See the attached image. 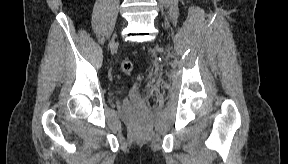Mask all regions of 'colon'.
Wrapping results in <instances>:
<instances>
[{
    "instance_id": "1",
    "label": "colon",
    "mask_w": 288,
    "mask_h": 164,
    "mask_svg": "<svg viewBox=\"0 0 288 164\" xmlns=\"http://www.w3.org/2000/svg\"><path fill=\"white\" fill-rule=\"evenodd\" d=\"M121 69L124 73L130 74L133 70V62L129 59H124L121 62Z\"/></svg>"
}]
</instances>
